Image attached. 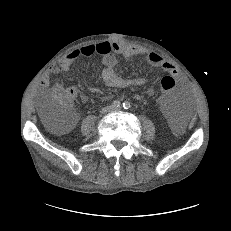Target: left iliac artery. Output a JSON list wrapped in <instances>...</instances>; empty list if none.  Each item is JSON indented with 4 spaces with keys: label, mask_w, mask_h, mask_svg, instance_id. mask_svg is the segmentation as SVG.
Wrapping results in <instances>:
<instances>
[{
    "label": "left iliac artery",
    "mask_w": 231,
    "mask_h": 231,
    "mask_svg": "<svg viewBox=\"0 0 231 231\" xmlns=\"http://www.w3.org/2000/svg\"><path fill=\"white\" fill-rule=\"evenodd\" d=\"M123 107H124V109H129L131 107V105H130V103L128 101H125L123 103Z\"/></svg>",
    "instance_id": "44dca946"
}]
</instances>
